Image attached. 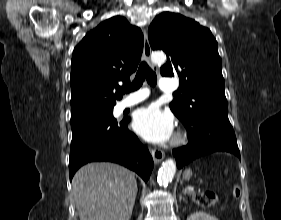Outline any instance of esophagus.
Here are the masks:
<instances>
[{
    "label": "esophagus",
    "instance_id": "1",
    "mask_svg": "<svg viewBox=\"0 0 281 220\" xmlns=\"http://www.w3.org/2000/svg\"><path fill=\"white\" fill-rule=\"evenodd\" d=\"M143 33H144V49H143L144 59L154 71H157V68L150 62L151 47L148 40L147 32L144 30ZM151 153L155 163H159L164 159L165 154L162 150L152 149Z\"/></svg>",
    "mask_w": 281,
    "mask_h": 220
}]
</instances>
